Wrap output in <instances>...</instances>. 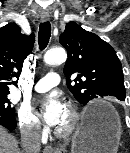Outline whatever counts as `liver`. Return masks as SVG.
Wrapping results in <instances>:
<instances>
[{
	"label": "liver",
	"instance_id": "liver-1",
	"mask_svg": "<svg viewBox=\"0 0 130 153\" xmlns=\"http://www.w3.org/2000/svg\"><path fill=\"white\" fill-rule=\"evenodd\" d=\"M0 153H20L16 138L0 125Z\"/></svg>",
	"mask_w": 130,
	"mask_h": 153
}]
</instances>
